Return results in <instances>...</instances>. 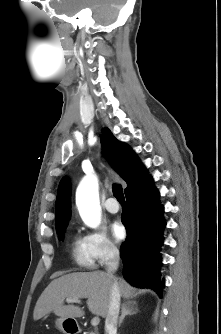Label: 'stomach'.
<instances>
[{
	"instance_id": "obj_1",
	"label": "stomach",
	"mask_w": 221,
	"mask_h": 334,
	"mask_svg": "<svg viewBox=\"0 0 221 334\" xmlns=\"http://www.w3.org/2000/svg\"><path fill=\"white\" fill-rule=\"evenodd\" d=\"M56 327L64 332L65 334H69L71 330H77L78 326L74 320H68L66 318H58L55 322Z\"/></svg>"
}]
</instances>
